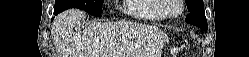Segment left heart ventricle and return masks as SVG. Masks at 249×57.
<instances>
[{"mask_svg":"<svg viewBox=\"0 0 249 57\" xmlns=\"http://www.w3.org/2000/svg\"><path fill=\"white\" fill-rule=\"evenodd\" d=\"M178 11H179L178 5H177L176 3H174V4L171 6V8H170V13L173 14V15H175V14L178 13Z\"/></svg>","mask_w":249,"mask_h":57,"instance_id":"left-heart-ventricle-1","label":"left heart ventricle"}]
</instances>
